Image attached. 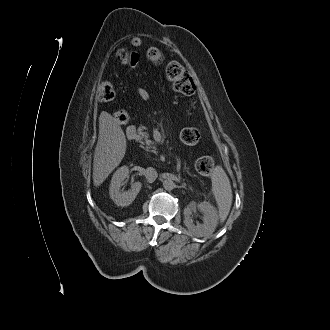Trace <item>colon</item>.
<instances>
[{
  "label": "colon",
  "instance_id": "obj_1",
  "mask_svg": "<svg viewBox=\"0 0 330 330\" xmlns=\"http://www.w3.org/2000/svg\"><path fill=\"white\" fill-rule=\"evenodd\" d=\"M136 55L128 50H122L119 54L121 60H127ZM146 61L153 66H158L163 62V52L158 47H150L146 51ZM165 73L167 79L171 82L173 90L183 95H191L195 91V83L189 71L179 62H169L166 65ZM114 89L110 83H103L98 90L101 101L108 102L114 98ZM117 121L124 122L128 119L127 112L118 110L114 113ZM181 140L187 145H194L200 140V132L196 128H185L181 132ZM196 170L202 175H209L214 169V160L209 156H203L197 159L195 163Z\"/></svg>",
  "mask_w": 330,
  "mask_h": 330
}]
</instances>
